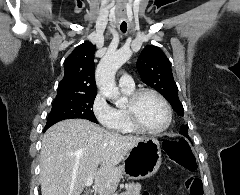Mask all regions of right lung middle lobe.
<instances>
[{
  "mask_svg": "<svg viewBox=\"0 0 240 195\" xmlns=\"http://www.w3.org/2000/svg\"><path fill=\"white\" fill-rule=\"evenodd\" d=\"M95 97L96 95L57 96L44 131L65 119L82 118L98 123L92 110Z\"/></svg>",
  "mask_w": 240,
  "mask_h": 195,
  "instance_id": "right-lung-middle-lobe-1",
  "label": "right lung middle lobe"
}]
</instances>
